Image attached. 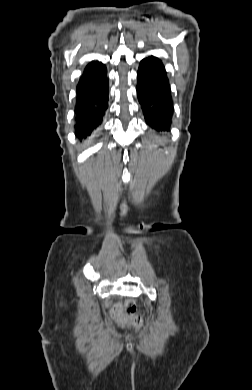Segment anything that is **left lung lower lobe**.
Wrapping results in <instances>:
<instances>
[{
  "mask_svg": "<svg viewBox=\"0 0 252 390\" xmlns=\"http://www.w3.org/2000/svg\"><path fill=\"white\" fill-rule=\"evenodd\" d=\"M137 78L138 100L146 123L157 131L169 130L173 101L163 63L154 56L143 59Z\"/></svg>",
  "mask_w": 252,
  "mask_h": 390,
  "instance_id": "0a47b994",
  "label": "left lung lower lobe"
}]
</instances>
